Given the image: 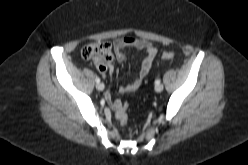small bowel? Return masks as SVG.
Returning a JSON list of instances; mask_svg holds the SVG:
<instances>
[{"instance_id":"1","label":"small bowel","mask_w":248,"mask_h":165,"mask_svg":"<svg viewBox=\"0 0 248 165\" xmlns=\"http://www.w3.org/2000/svg\"><path fill=\"white\" fill-rule=\"evenodd\" d=\"M128 48H134L137 50H143L145 52V56L143 58V61L141 63V67L139 69L138 75L135 78V80L127 85L120 86L119 92L120 93H129L137 90L144 78L148 75L154 58L157 54L156 47L148 40L140 39V38H134V37H125L118 39L114 42V51L117 61L123 62L126 59V49ZM112 71V68L110 67L108 71L101 70V73L106 75ZM107 98L110 100L111 96L107 94Z\"/></svg>"}]
</instances>
